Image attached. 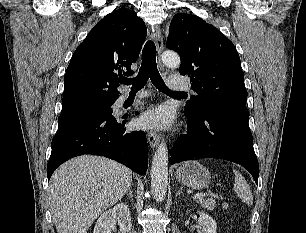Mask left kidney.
Masks as SVG:
<instances>
[{
  "mask_svg": "<svg viewBox=\"0 0 306 233\" xmlns=\"http://www.w3.org/2000/svg\"><path fill=\"white\" fill-rule=\"evenodd\" d=\"M199 223L202 227V233H216L217 224L215 220L205 212H200Z\"/></svg>",
  "mask_w": 306,
  "mask_h": 233,
  "instance_id": "left-kidney-1",
  "label": "left kidney"
}]
</instances>
